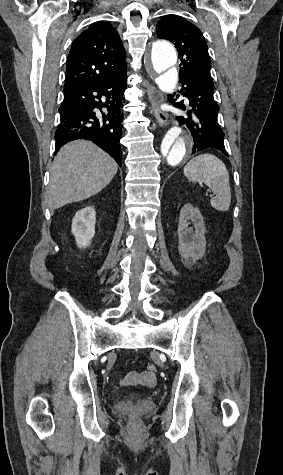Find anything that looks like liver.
<instances>
[{"label":"liver","mask_w":283,"mask_h":475,"mask_svg":"<svg viewBox=\"0 0 283 475\" xmlns=\"http://www.w3.org/2000/svg\"><path fill=\"white\" fill-rule=\"evenodd\" d=\"M118 166L93 142L75 140L60 148L51 168L49 208L95 196L110 184Z\"/></svg>","instance_id":"liver-1"}]
</instances>
